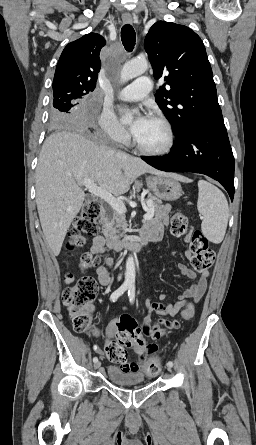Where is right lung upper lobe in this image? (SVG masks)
<instances>
[{
    "instance_id": "obj_1",
    "label": "right lung upper lobe",
    "mask_w": 256,
    "mask_h": 445,
    "mask_svg": "<svg viewBox=\"0 0 256 445\" xmlns=\"http://www.w3.org/2000/svg\"><path fill=\"white\" fill-rule=\"evenodd\" d=\"M103 37L89 33L69 43L63 50L53 79V93L70 91L86 95L96 86L101 67L99 53Z\"/></svg>"
}]
</instances>
